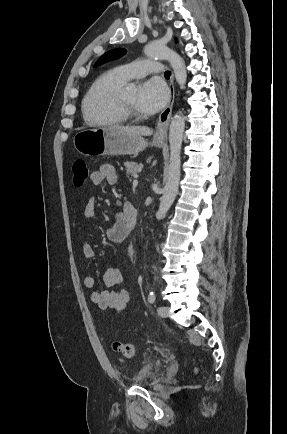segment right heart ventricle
<instances>
[{
    "instance_id": "1",
    "label": "right heart ventricle",
    "mask_w": 287,
    "mask_h": 434,
    "mask_svg": "<svg viewBox=\"0 0 287 434\" xmlns=\"http://www.w3.org/2000/svg\"><path fill=\"white\" fill-rule=\"evenodd\" d=\"M126 82L117 68L98 76L86 91L81 110L90 125H115L126 121L114 104L116 91Z\"/></svg>"
}]
</instances>
